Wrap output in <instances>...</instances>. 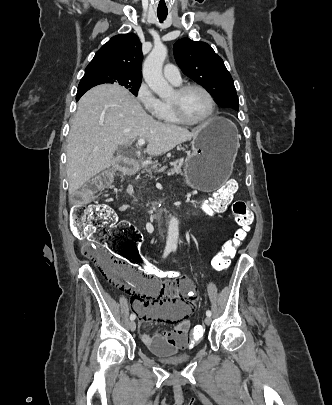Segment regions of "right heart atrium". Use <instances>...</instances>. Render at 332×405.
I'll use <instances>...</instances> for the list:
<instances>
[{"label":"right heart atrium","instance_id":"obj_1","mask_svg":"<svg viewBox=\"0 0 332 405\" xmlns=\"http://www.w3.org/2000/svg\"><path fill=\"white\" fill-rule=\"evenodd\" d=\"M136 98L145 111L153 116L159 117L162 111V102L155 96L149 86L142 82L136 92Z\"/></svg>","mask_w":332,"mask_h":405}]
</instances>
